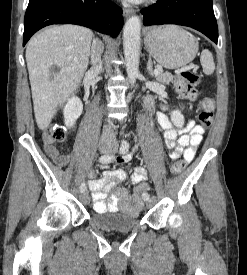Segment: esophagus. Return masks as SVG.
Returning <instances> with one entry per match:
<instances>
[{"label":"esophagus","mask_w":247,"mask_h":275,"mask_svg":"<svg viewBox=\"0 0 247 275\" xmlns=\"http://www.w3.org/2000/svg\"><path fill=\"white\" fill-rule=\"evenodd\" d=\"M133 13H134V10L131 9V8L123 9V14H124L125 17H129Z\"/></svg>","instance_id":"34e87169"}]
</instances>
